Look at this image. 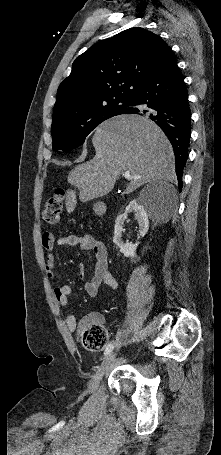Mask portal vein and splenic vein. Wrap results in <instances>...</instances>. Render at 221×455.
I'll list each match as a JSON object with an SVG mask.
<instances>
[{"label":"portal vein and splenic vein","instance_id":"portal-vein-and-splenic-vein-1","mask_svg":"<svg viewBox=\"0 0 221 455\" xmlns=\"http://www.w3.org/2000/svg\"><path fill=\"white\" fill-rule=\"evenodd\" d=\"M123 175H124L125 179H128V180H131V179L133 178V177L130 175V172H129V171L125 172Z\"/></svg>","mask_w":221,"mask_h":455}]
</instances>
